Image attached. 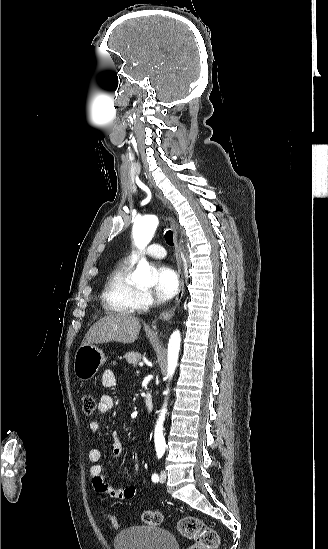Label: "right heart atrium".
I'll use <instances>...</instances> for the list:
<instances>
[{"label": "right heart atrium", "instance_id": "obj_1", "mask_svg": "<svg viewBox=\"0 0 328 549\" xmlns=\"http://www.w3.org/2000/svg\"><path fill=\"white\" fill-rule=\"evenodd\" d=\"M144 298H145V301L147 302V304L157 303V301L153 298V296L150 292H145L144 293Z\"/></svg>", "mask_w": 328, "mask_h": 549}]
</instances>
